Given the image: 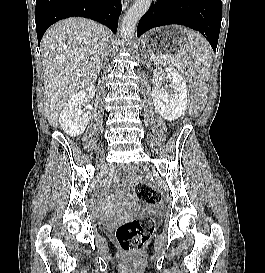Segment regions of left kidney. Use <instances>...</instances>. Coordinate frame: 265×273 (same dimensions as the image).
Instances as JSON below:
<instances>
[{
  "mask_svg": "<svg viewBox=\"0 0 265 273\" xmlns=\"http://www.w3.org/2000/svg\"><path fill=\"white\" fill-rule=\"evenodd\" d=\"M167 77L171 80L173 91L152 88V98L156 110L168 121L181 117L187 109V86L182 74L173 67L165 68Z\"/></svg>",
  "mask_w": 265,
  "mask_h": 273,
  "instance_id": "5707ae66",
  "label": "left kidney"
}]
</instances>
